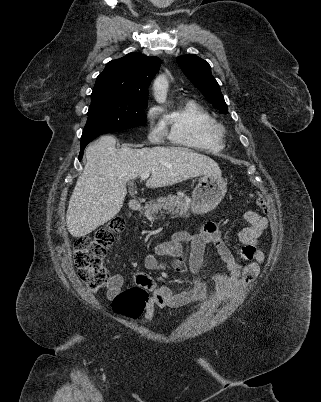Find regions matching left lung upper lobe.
<instances>
[{
  "label": "left lung upper lobe",
  "instance_id": "left-lung-upper-lobe-1",
  "mask_svg": "<svg viewBox=\"0 0 321 402\" xmlns=\"http://www.w3.org/2000/svg\"><path fill=\"white\" fill-rule=\"evenodd\" d=\"M177 62L186 77L202 92L206 99L220 112L227 114L219 84L211 74L210 65L194 54L177 57Z\"/></svg>",
  "mask_w": 321,
  "mask_h": 402
}]
</instances>
